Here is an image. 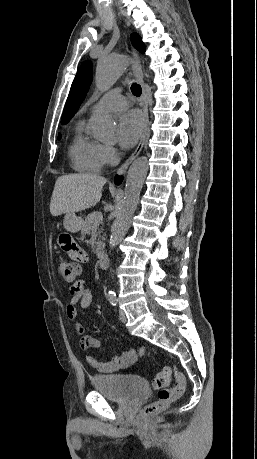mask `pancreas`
I'll use <instances>...</instances> for the list:
<instances>
[{"label":"pancreas","instance_id":"obj_1","mask_svg":"<svg viewBox=\"0 0 257 459\" xmlns=\"http://www.w3.org/2000/svg\"><path fill=\"white\" fill-rule=\"evenodd\" d=\"M97 214H98V212H93V213L88 214V216L86 217L85 221L83 222L82 229H81V234L82 235H86V234L90 235V234H93V232L95 231L96 235L98 236L97 252H99L103 247V242L101 240H99L101 238L100 237L101 231L99 229L100 223H96ZM102 240H103V237H102Z\"/></svg>","mask_w":257,"mask_h":459}]
</instances>
